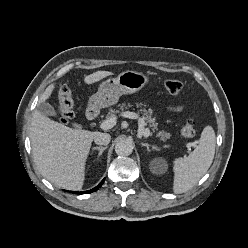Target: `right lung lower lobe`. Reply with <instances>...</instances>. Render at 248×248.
<instances>
[{
	"instance_id": "obj_1",
	"label": "right lung lower lobe",
	"mask_w": 248,
	"mask_h": 248,
	"mask_svg": "<svg viewBox=\"0 0 248 248\" xmlns=\"http://www.w3.org/2000/svg\"><path fill=\"white\" fill-rule=\"evenodd\" d=\"M103 182H104V180H102L101 183H99V185L96 186L95 188H93L92 190H88V191H84V192H72V193H76V194L91 193V192H93V191L98 190V189L102 186Z\"/></svg>"
}]
</instances>
